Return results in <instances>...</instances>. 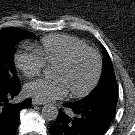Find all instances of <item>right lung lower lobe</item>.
<instances>
[{
    "mask_svg": "<svg viewBox=\"0 0 135 135\" xmlns=\"http://www.w3.org/2000/svg\"><path fill=\"white\" fill-rule=\"evenodd\" d=\"M19 92V84L10 89H0V135H14L18 128L20 111L31 106L30 98L18 104L10 102Z\"/></svg>",
    "mask_w": 135,
    "mask_h": 135,
    "instance_id": "98d812e1",
    "label": "right lung lower lobe"
}]
</instances>
